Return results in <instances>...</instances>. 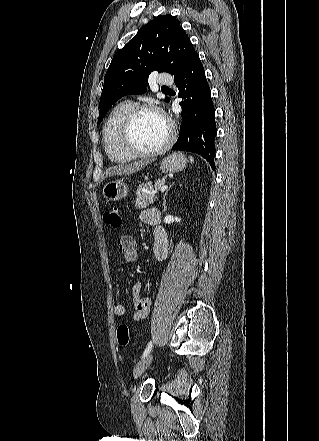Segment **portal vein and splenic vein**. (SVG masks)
Segmentation results:
<instances>
[{
	"instance_id": "18ae733b",
	"label": "portal vein and splenic vein",
	"mask_w": 319,
	"mask_h": 441,
	"mask_svg": "<svg viewBox=\"0 0 319 441\" xmlns=\"http://www.w3.org/2000/svg\"><path fill=\"white\" fill-rule=\"evenodd\" d=\"M168 189V186L167 185H164V186H162L161 188H160V191L161 192H164V191H166Z\"/></svg>"
}]
</instances>
